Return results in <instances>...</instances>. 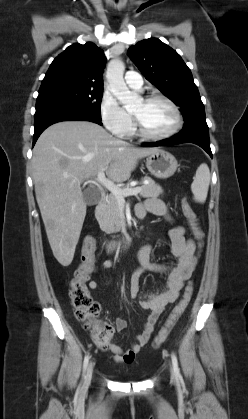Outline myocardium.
I'll list each match as a JSON object with an SVG mask.
<instances>
[{
  "mask_svg": "<svg viewBox=\"0 0 248 419\" xmlns=\"http://www.w3.org/2000/svg\"><path fill=\"white\" fill-rule=\"evenodd\" d=\"M142 100L144 102H153V101L165 102L172 109L175 115V123L173 127L166 133L158 134V135L151 134L143 128L142 123L140 122L139 118L136 115L132 114L135 132L138 136L147 140L161 141V140H166L173 137L181 130L183 126V116H182L180 108L172 99L162 94H152V95H148L144 97Z\"/></svg>",
  "mask_w": 248,
  "mask_h": 419,
  "instance_id": "f54148a6",
  "label": "myocardium"
}]
</instances>
